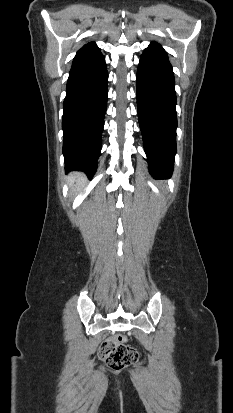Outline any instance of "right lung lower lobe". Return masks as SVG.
Listing matches in <instances>:
<instances>
[{"instance_id": "1", "label": "right lung lower lobe", "mask_w": 233, "mask_h": 413, "mask_svg": "<svg viewBox=\"0 0 233 413\" xmlns=\"http://www.w3.org/2000/svg\"><path fill=\"white\" fill-rule=\"evenodd\" d=\"M108 72L100 49L85 44L74 57L66 87L62 119L63 154L67 171L92 177L101 151L107 108Z\"/></svg>"}]
</instances>
